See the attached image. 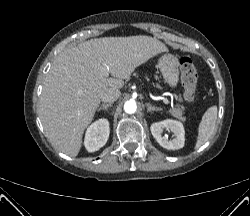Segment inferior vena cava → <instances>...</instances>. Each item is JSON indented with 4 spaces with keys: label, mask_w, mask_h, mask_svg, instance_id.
Listing matches in <instances>:
<instances>
[{
    "label": "inferior vena cava",
    "mask_w": 250,
    "mask_h": 216,
    "mask_svg": "<svg viewBox=\"0 0 250 216\" xmlns=\"http://www.w3.org/2000/svg\"><path fill=\"white\" fill-rule=\"evenodd\" d=\"M120 95L121 92L119 89L110 88L101 95V100L105 103H112L116 101Z\"/></svg>",
    "instance_id": "602c4592"
}]
</instances>
